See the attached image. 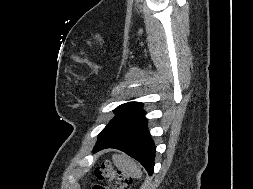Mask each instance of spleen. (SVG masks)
Masks as SVG:
<instances>
[{
  "mask_svg": "<svg viewBox=\"0 0 253 189\" xmlns=\"http://www.w3.org/2000/svg\"><path fill=\"white\" fill-rule=\"evenodd\" d=\"M112 159L118 170L123 172L126 176L131 178L142 177L140 166L132 158L126 156L125 154H113Z\"/></svg>",
  "mask_w": 253,
  "mask_h": 189,
  "instance_id": "obj_1",
  "label": "spleen"
}]
</instances>
